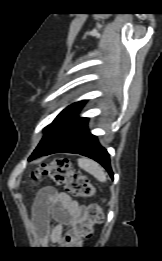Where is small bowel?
<instances>
[{
	"instance_id": "small-bowel-1",
	"label": "small bowel",
	"mask_w": 162,
	"mask_h": 261,
	"mask_svg": "<svg viewBox=\"0 0 162 261\" xmlns=\"http://www.w3.org/2000/svg\"><path fill=\"white\" fill-rule=\"evenodd\" d=\"M35 224L38 229H49L51 244L63 242V232L73 238L74 227L84 211V206L72 199L68 194L53 187H44L38 193L35 203ZM55 224L52 225L51 222Z\"/></svg>"
}]
</instances>
